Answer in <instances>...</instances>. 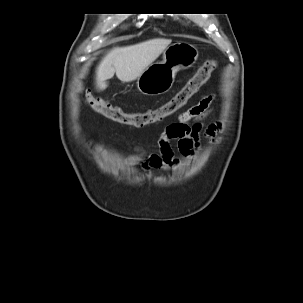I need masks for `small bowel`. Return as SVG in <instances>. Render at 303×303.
Wrapping results in <instances>:
<instances>
[{"label":"small bowel","instance_id":"small-bowel-1","mask_svg":"<svg viewBox=\"0 0 303 303\" xmlns=\"http://www.w3.org/2000/svg\"><path fill=\"white\" fill-rule=\"evenodd\" d=\"M211 97L203 96L193 106L182 112L176 122L165 128L158 140L159 152L147 155L141 146L134 148V153L124 159V165L134 166L141 164L145 169H158L170 171L180 163L175 156L171 145L176 140L178 151L182 155H190L199 149L203 138L211 139L214 136L213 129H204L201 121L207 116L210 110ZM94 152H101L102 146H93Z\"/></svg>","mask_w":303,"mask_h":303}]
</instances>
